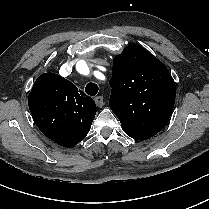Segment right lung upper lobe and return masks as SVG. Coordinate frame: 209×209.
Masks as SVG:
<instances>
[{
    "label": "right lung upper lobe",
    "mask_w": 209,
    "mask_h": 209,
    "mask_svg": "<svg viewBox=\"0 0 209 209\" xmlns=\"http://www.w3.org/2000/svg\"><path fill=\"white\" fill-rule=\"evenodd\" d=\"M28 105L40 131L57 144L72 147L88 134L96 114L94 100L62 76L44 73L35 81Z\"/></svg>",
    "instance_id": "right-lung-upper-lobe-1"
}]
</instances>
